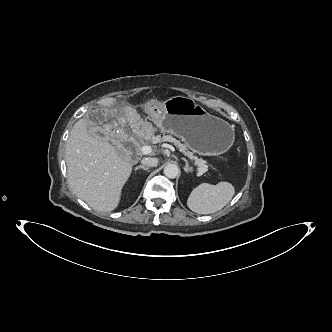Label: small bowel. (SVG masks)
<instances>
[{
  "label": "small bowel",
  "instance_id": "small-bowel-1",
  "mask_svg": "<svg viewBox=\"0 0 332 332\" xmlns=\"http://www.w3.org/2000/svg\"><path fill=\"white\" fill-rule=\"evenodd\" d=\"M162 104L157 99H148L144 103V113L147 118L155 119L160 114ZM114 114L110 108L102 107L98 110L91 111L88 114L87 120L91 126L97 127L101 124L110 123L113 120ZM134 132L141 138H150L154 133V128L151 124L139 121L134 127Z\"/></svg>",
  "mask_w": 332,
  "mask_h": 332
}]
</instances>
